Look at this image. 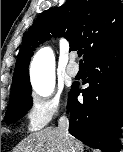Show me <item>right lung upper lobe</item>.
<instances>
[{
  "instance_id": "obj_1",
  "label": "right lung upper lobe",
  "mask_w": 123,
  "mask_h": 152,
  "mask_svg": "<svg viewBox=\"0 0 123 152\" xmlns=\"http://www.w3.org/2000/svg\"><path fill=\"white\" fill-rule=\"evenodd\" d=\"M123 35L120 0H67L42 12L27 32L16 61L11 94L27 85L33 50L52 36H64L73 49L84 48L86 60Z\"/></svg>"
}]
</instances>
